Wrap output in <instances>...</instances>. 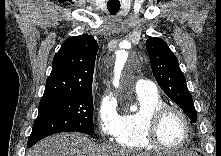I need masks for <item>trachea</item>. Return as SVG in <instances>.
Listing matches in <instances>:
<instances>
[{"instance_id": "obj_1", "label": "trachea", "mask_w": 221, "mask_h": 156, "mask_svg": "<svg viewBox=\"0 0 221 156\" xmlns=\"http://www.w3.org/2000/svg\"><path fill=\"white\" fill-rule=\"evenodd\" d=\"M107 8L112 15H115L120 9V2L118 0H110L107 3Z\"/></svg>"}]
</instances>
